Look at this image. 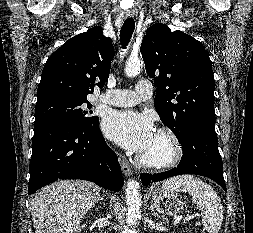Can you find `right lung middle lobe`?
Wrapping results in <instances>:
<instances>
[{
  "instance_id": "obj_1",
  "label": "right lung middle lobe",
  "mask_w": 253,
  "mask_h": 233,
  "mask_svg": "<svg viewBox=\"0 0 253 233\" xmlns=\"http://www.w3.org/2000/svg\"><path fill=\"white\" fill-rule=\"evenodd\" d=\"M87 99L52 97L36 104L34 126L45 122H63L77 128H88L99 121L84 104ZM88 108L91 106L88 104Z\"/></svg>"
}]
</instances>
